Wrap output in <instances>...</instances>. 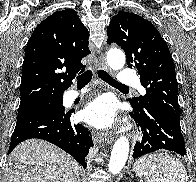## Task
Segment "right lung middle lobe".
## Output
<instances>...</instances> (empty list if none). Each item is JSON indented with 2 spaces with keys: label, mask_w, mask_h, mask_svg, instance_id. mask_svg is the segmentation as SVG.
Here are the masks:
<instances>
[{
  "label": "right lung middle lobe",
  "mask_w": 196,
  "mask_h": 182,
  "mask_svg": "<svg viewBox=\"0 0 196 182\" xmlns=\"http://www.w3.org/2000/svg\"><path fill=\"white\" fill-rule=\"evenodd\" d=\"M62 103L63 98L62 96H60L34 103L20 105L17 119H21L36 113L65 111V108Z\"/></svg>",
  "instance_id": "dd1d6c3e"
}]
</instances>
